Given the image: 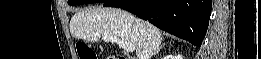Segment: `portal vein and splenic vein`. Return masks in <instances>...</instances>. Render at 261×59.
<instances>
[{"mask_svg":"<svg viewBox=\"0 0 261 59\" xmlns=\"http://www.w3.org/2000/svg\"><path fill=\"white\" fill-rule=\"evenodd\" d=\"M102 39L105 41L115 42L116 44L119 45V47L123 48L127 52H133L135 50V46H133L132 44H128V43L124 42L123 40H120L116 37L104 36V37H102Z\"/></svg>","mask_w":261,"mask_h":59,"instance_id":"obj_1","label":"portal vein and splenic vein"}]
</instances>
